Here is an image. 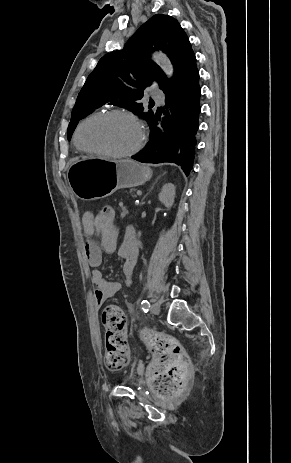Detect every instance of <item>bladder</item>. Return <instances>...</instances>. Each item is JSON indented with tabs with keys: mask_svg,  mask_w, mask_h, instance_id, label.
Returning <instances> with one entry per match:
<instances>
[{
	"mask_svg": "<svg viewBox=\"0 0 291 463\" xmlns=\"http://www.w3.org/2000/svg\"><path fill=\"white\" fill-rule=\"evenodd\" d=\"M125 384L126 385H129V386H137L140 384V381H137L131 377H127L125 380H124Z\"/></svg>",
	"mask_w": 291,
	"mask_h": 463,
	"instance_id": "31cf9c89",
	"label": "bladder"
}]
</instances>
